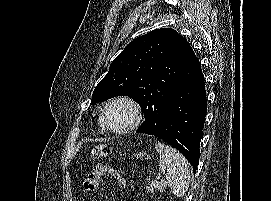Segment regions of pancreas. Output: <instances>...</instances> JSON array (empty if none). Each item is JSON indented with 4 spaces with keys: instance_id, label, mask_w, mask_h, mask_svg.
I'll use <instances>...</instances> for the list:
<instances>
[{
    "instance_id": "pancreas-1",
    "label": "pancreas",
    "mask_w": 271,
    "mask_h": 201,
    "mask_svg": "<svg viewBox=\"0 0 271 201\" xmlns=\"http://www.w3.org/2000/svg\"><path fill=\"white\" fill-rule=\"evenodd\" d=\"M154 189H158L160 192L165 190V185L162 182L152 181L149 186L146 187L147 192H153Z\"/></svg>"
}]
</instances>
